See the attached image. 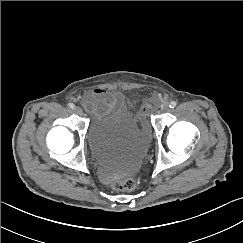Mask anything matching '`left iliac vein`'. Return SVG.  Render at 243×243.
<instances>
[{
  "mask_svg": "<svg viewBox=\"0 0 243 243\" xmlns=\"http://www.w3.org/2000/svg\"><path fill=\"white\" fill-rule=\"evenodd\" d=\"M169 109H170V107H169L168 104H164V105L161 106V111L162 112H167V111H169Z\"/></svg>",
  "mask_w": 243,
  "mask_h": 243,
  "instance_id": "left-iliac-vein-1",
  "label": "left iliac vein"
}]
</instances>
